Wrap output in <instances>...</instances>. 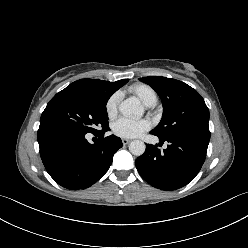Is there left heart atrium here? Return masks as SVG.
<instances>
[{"label":"left heart atrium","instance_id":"obj_1","mask_svg":"<svg viewBox=\"0 0 248 248\" xmlns=\"http://www.w3.org/2000/svg\"><path fill=\"white\" fill-rule=\"evenodd\" d=\"M150 128L146 119H131L121 117L112 125L114 134L124 138L138 137Z\"/></svg>","mask_w":248,"mask_h":248}]
</instances>
